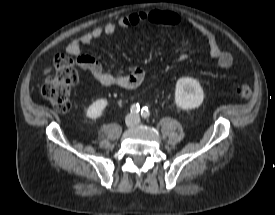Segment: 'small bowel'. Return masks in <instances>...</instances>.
Returning <instances> with one entry per match:
<instances>
[{"instance_id": "1", "label": "small bowel", "mask_w": 275, "mask_h": 215, "mask_svg": "<svg viewBox=\"0 0 275 215\" xmlns=\"http://www.w3.org/2000/svg\"><path fill=\"white\" fill-rule=\"evenodd\" d=\"M139 24L178 26L184 25L200 33L207 41L209 54L217 61L221 69L228 70L233 65L230 53L223 50L214 34L204 26L170 10H150L123 16L116 21L97 26L73 40L66 48V53L75 58V65L87 71L92 78L103 86L135 88L143 83L146 77L144 69L132 66L127 71L111 73L102 67L98 60L87 54H82V47L103 35H111L119 29L135 27Z\"/></svg>"}]
</instances>
